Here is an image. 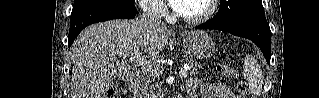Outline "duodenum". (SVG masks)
<instances>
[{"label": "duodenum", "mask_w": 319, "mask_h": 98, "mask_svg": "<svg viewBox=\"0 0 319 98\" xmlns=\"http://www.w3.org/2000/svg\"><path fill=\"white\" fill-rule=\"evenodd\" d=\"M140 76L139 75H134L130 81H129V89L132 93L136 94L139 90V86H140ZM176 98H183L181 95H177Z\"/></svg>", "instance_id": "1"}]
</instances>
